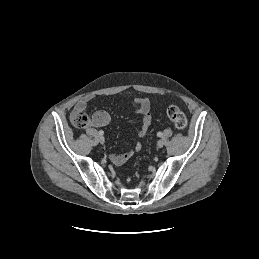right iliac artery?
Wrapping results in <instances>:
<instances>
[{"instance_id": "right-iliac-artery-1", "label": "right iliac artery", "mask_w": 259, "mask_h": 259, "mask_svg": "<svg viewBox=\"0 0 259 259\" xmlns=\"http://www.w3.org/2000/svg\"><path fill=\"white\" fill-rule=\"evenodd\" d=\"M99 134H100V135H103V134H104V132H103L102 130H100V131H99Z\"/></svg>"}]
</instances>
